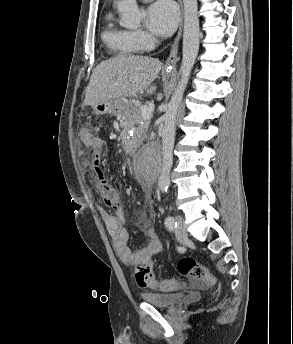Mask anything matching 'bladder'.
I'll return each mask as SVG.
<instances>
[{
  "label": "bladder",
  "mask_w": 293,
  "mask_h": 344,
  "mask_svg": "<svg viewBox=\"0 0 293 344\" xmlns=\"http://www.w3.org/2000/svg\"><path fill=\"white\" fill-rule=\"evenodd\" d=\"M146 303L163 309H172L185 300L181 293L147 292L143 295Z\"/></svg>",
  "instance_id": "obj_1"
}]
</instances>
